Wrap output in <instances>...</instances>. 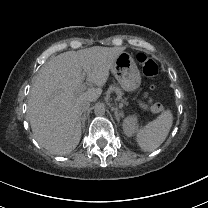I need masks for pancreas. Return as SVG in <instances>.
Masks as SVG:
<instances>
[{
  "label": "pancreas",
  "instance_id": "pancreas-1",
  "mask_svg": "<svg viewBox=\"0 0 208 208\" xmlns=\"http://www.w3.org/2000/svg\"><path fill=\"white\" fill-rule=\"evenodd\" d=\"M110 90L117 93V101H121L123 106L127 104L126 99L123 98L124 93L121 88L111 86Z\"/></svg>",
  "mask_w": 208,
  "mask_h": 208
}]
</instances>
